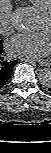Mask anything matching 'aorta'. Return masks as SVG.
I'll return each mask as SVG.
<instances>
[{
    "label": "aorta",
    "instance_id": "1",
    "mask_svg": "<svg viewBox=\"0 0 51 153\" xmlns=\"http://www.w3.org/2000/svg\"><path fill=\"white\" fill-rule=\"evenodd\" d=\"M40 13L31 6H21L14 10L12 23L16 30L30 33L36 30L40 21ZM39 81L45 87L51 86V69L44 68L39 72Z\"/></svg>",
    "mask_w": 51,
    "mask_h": 153
}]
</instances>
